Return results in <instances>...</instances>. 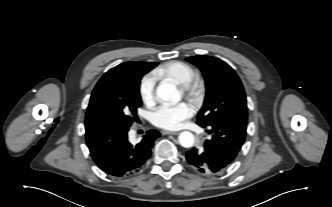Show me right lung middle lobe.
Masks as SVG:
<instances>
[{
    "instance_id": "1",
    "label": "right lung middle lobe",
    "mask_w": 332,
    "mask_h": 207,
    "mask_svg": "<svg viewBox=\"0 0 332 207\" xmlns=\"http://www.w3.org/2000/svg\"><path fill=\"white\" fill-rule=\"evenodd\" d=\"M151 69L134 64L105 73L91 95L85 118L86 134L129 128L142 105L140 80Z\"/></svg>"
}]
</instances>
